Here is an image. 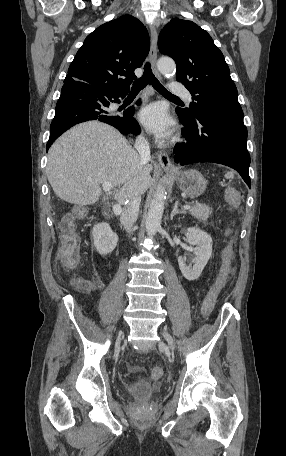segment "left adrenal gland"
Listing matches in <instances>:
<instances>
[{"label": "left adrenal gland", "instance_id": "left-adrenal-gland-1", "mask_svg": "<svg viewBox=\"0 0 286 456\" xmlns=\"http://www.w3.org/2000/svg\"><path fill=\"white\" fill-rule=\"evenodd\" d=\"M178 203H179V201L177 200V201L175 202V205H174V207H173V210H172V212H171V214H170V219H171V220H173V217H174L176 214H184V213H185V211L179 210V209H178Z\"/></svg>", "mask_w": 286, "mask_h": 456}]
</instances>
